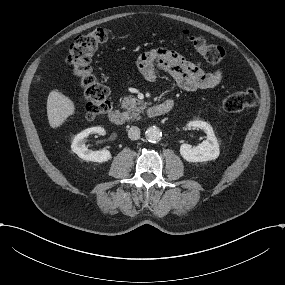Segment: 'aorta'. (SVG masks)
Segmentation results:
<instances>
[{"instance_id":"aorta-1","label":"aorta","mask_w":285,"mask_h":285,"mask_svg":"<svg viewBox=\"0 0 285 285\" xmlns=\"http://www.w3.org/2000/svg\"><path fill=\"white\" fill-rule=\"evenodd\" d=\"M146 139L150 142H156L161 139L162 133L156 126L149 127L145 132Z\"/></svg>"}]
</instances>
